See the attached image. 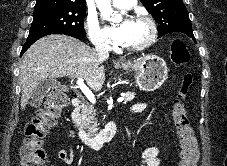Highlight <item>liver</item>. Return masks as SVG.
Segmentation results:
<instances>
[{
    "instance_id": "6515ba94",
    "label": "liver",
    "mask_w": 227,
    "mask_h": 166,
    "mask_svg": "<svg viewBox=\"0 0 227 166\" xmlns=\"http://www.w3.org/2000/svg\"><path fill=\"white\" fill-rule=\"evenodd\" d=\"M100 63L94 49L73 37L53 34L39 39L27 50L20 66L21 109L41 80L82 78L93 91H100L105 81Z\"/></svg>"
}]
</instances>
